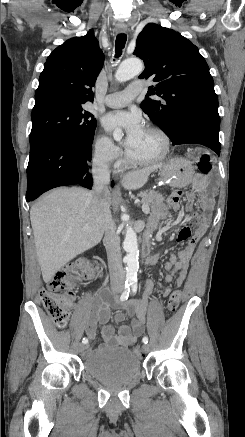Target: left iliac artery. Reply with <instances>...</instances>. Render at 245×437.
<instances>
[{
    "instance_id": "left-iliac-artery-1",
    "label": "left iliac artery",
    "mask_w": 245,
    "mask_h": 437,
    "mask_svg": "<svg viewBox=\"0 0 245 437\" xmlns=\"http://www.w3.org/2000/svg\"><path fill=\"white\" fill-rule=\"evenodd\" d=\"M131 290L133 294H136L137 292V283L136 282H132L131 284ZM143 343L147 344L148 343V337H143L142 339Z\"/></svg>"
}]
</instances>
